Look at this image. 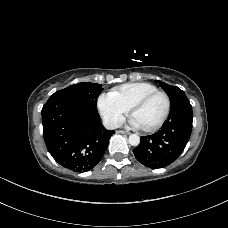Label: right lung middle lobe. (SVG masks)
<instances>
[{"instance_id": "1", "label": "right lung middle lobe", "mask_w": 228, "mask_h": 228, "mask_svg": "<svg viewBox=\"0 0 228 228\" xmlns=\"http://www.w3.org/2000/svg\"><path fill=\"white\" fill-rule=\"evenodd\" d=\"M102 90L103 88L101 84L83 82L59 90L55 92L52 96L75 98L96 106L97 98L102 92Z\"/></svg>"}]
</instances>
